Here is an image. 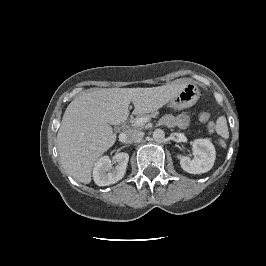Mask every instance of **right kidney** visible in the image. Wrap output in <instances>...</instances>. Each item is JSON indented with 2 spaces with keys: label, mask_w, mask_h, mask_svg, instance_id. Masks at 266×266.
Returning a JSON list of instances; mask_svg holds the SVG:
<instances>
[{
  "label": "right kidney",
  "mask_w": 266,
  "mask_h": 266,
  "mask_svg": "<svg viewBox=\"0 0 266 266\" xmlns=\"http://www.w3.org/2000/svg\"><path fill=\"white\" fill-rule=\"evenodd\" d=\"M129 155L128 153H117L112 161L108 156L101 157L94 166L93 178L98 186H108L121 180L126 172ZM112 163L116 164L112 168Z\"/></svg>",
  "instance_id": "1"
}]
</instances>
